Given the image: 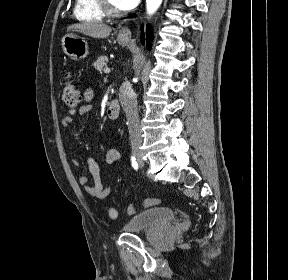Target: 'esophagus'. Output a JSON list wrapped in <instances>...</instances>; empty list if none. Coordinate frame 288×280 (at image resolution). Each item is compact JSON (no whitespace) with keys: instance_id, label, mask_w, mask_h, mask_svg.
I'll list each match as a JSON object with an SVG mask.
<instances>
[{"instance_id":"esophagus-1","label":"esophagus","mask_w":288,"mask_h":280,"mask_svg":"<svg viewBox=\"0 0 288 280\" xmlns=\"http://www.w3.org/2000/svg\"><path fill=\"white\" fill-rule=\"evenodd\" d=\"M118 35L119 37L122 38H131L132 33L130 28L127 25H125L120 28Z\"/></svg>"}]
</instances>
